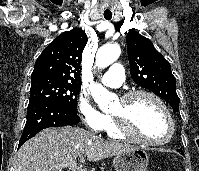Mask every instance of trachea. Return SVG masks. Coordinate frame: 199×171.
I'll list each match as a JSON object with an SVG mask.
<instances>
[{
  "mask_svg": "<svg viewBox=\"0 0 199 171\" xmlns=\"http://www.w3.org/2000/svg\"><path fill=\"white\" fill-rule=\"evenodd\" d=\"M104 18L107 20H110L112 18V13L111 12H104Z\"/></svg>",
  "mask_w": 199,
  "mask_h": 171,
  "instance_id": "trachea-1",
  "label": "trachea"
}]
</instances>
